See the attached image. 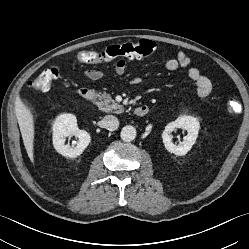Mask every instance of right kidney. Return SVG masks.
<instances>
[{
  "mask_svg": "<svg viewBox=\"0 0 249 249\" xmlns=\"http://www.w3.org/2000/svg\"><path fill=\"white\" fill-rule=\"evenodd\" d=\"M53 145L61 155L74 158L83 153L90 143V135L77 127V119L72 114H62L58 116L53 124ZM78 138L76 146L65 144L66 137Z\"/></svg>",
  "mask_w": 249,
  "mask_h": 249,
  "instance_id": "right-kidney-1",
  "label": "right kidney"
}]
</instances>
